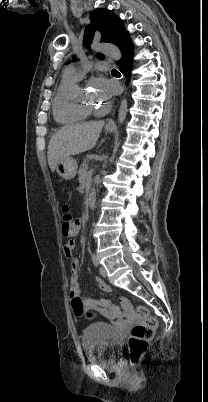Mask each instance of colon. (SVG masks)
Returning a JSON list of instances; mask_svg holds the SVG:
<instances>
[{
    "instance_id": "5ec220e1",
    "label": "colon",
    "mask_w": 208,
    "mask_h": 402,
    "mask_svg": "<svg viewBox=\"0 0 208 402\" xmlns=\"http://www.w3.org/2000/svg\"><path fill=\"white\" fill-rule=\"evenodd\" d=\"M64 215L62 219V235L68 238L69 235H74L76 231V223L78 220L74 219L70 213L69 205L63 207ZM73 312L77 315L91 316L92 313L88 310L82 299L79 296H73L71 299ZM87 309V310H86ZM137 314L143 318L142 324H131L129 330L131 332L129 338L130 344V361L136 363L145 353L148 342L153 338L159 326L158 318H149V311L145 307L137 309Z\"/></svg>"
}]
</instances>
